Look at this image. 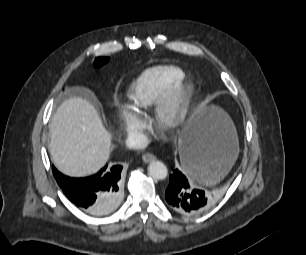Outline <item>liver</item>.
Masks as SVG:
<instances>
[{
  "instance_id": "liver-1",
  "label": "liver",
  "mask_w": 306,
  "mask_h": 255,
  "mask_svg": "<svg viewBox=\"0 0 306 255\" xmlns=\"http://www.w3.org/2000/svg\"><path fill=\"white\" fill-rule=\"evenodd\" d=\"M111 140L95 107L86 99L73 97L64 101L52 118L49 152L60 172L82 177L96 173L107 162Z\"/></svg>"
}]
</instances>
